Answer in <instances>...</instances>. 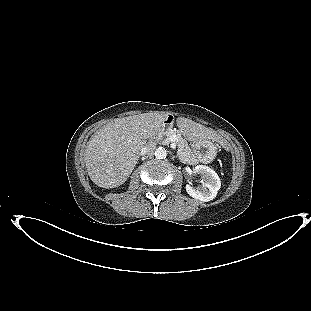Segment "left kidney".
Wrapping results in <instances>:
<instances>
[{"label": "left kidney", "instance_id": "1", "mask_svg": "<svg viewBox=\"0 0 311 311\" xmlns=\"http://www.w3.org/2000/svg\"><path fill=\"white\" fill-rule=\"evenodd\" d=\"M194 172L202 176L203 184L197 187L187 184V193L192 198L202 202L213 200L221 187V181L217 173L213 169L204 165H197L194 168Z\"/></svg>", "mask_w": 311, "mask_h": 311}]
</instances>
